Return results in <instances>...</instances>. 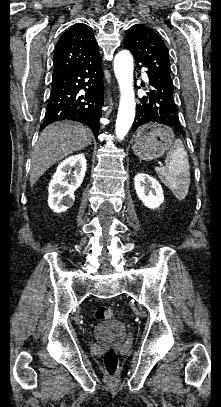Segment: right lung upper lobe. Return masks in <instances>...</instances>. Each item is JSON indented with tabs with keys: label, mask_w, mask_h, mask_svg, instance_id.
<instances>
[{
	"label": "right lung upper lobe",
	"mask_w": 221,
	"mask_h": 407,
	"mask_svg": "<svg viewBox=\"0 0 221 407\" xmlns=\"http://www.w3.org/2000/svg\"><path fill=\"white\" fill-rule=\"evenodd\" d=\"M98 52L99 48L91 27L83 23L71 26L57 42L52 77L90 60Z\"/></svg>",
	"instance_id": "right-lung-upper-lobe-1"
}]
</instances>
